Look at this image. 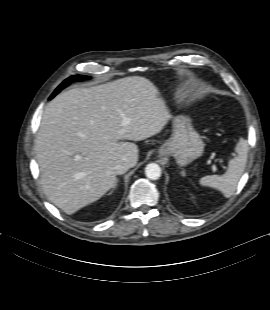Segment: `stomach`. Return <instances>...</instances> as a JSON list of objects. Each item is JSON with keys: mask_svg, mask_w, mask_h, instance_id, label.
Here are the masks:
<instances>
[{"mask_svg": "<svg viewBox=\"0 0 270 310\" xmlns=\"http://www.w3.org/2000/svg\"><path fill=\"white\" fill-rule=\"evenodd\" d=\"M204 142L194 129L188 116L180 115L173 119L171 137L160 147L159 156L175 158L180 166H186L204 152Z\"/></svg>", "mask_w": 270, "mask_h": 310, "instance_id": "1", "label": "stomach"}]
</instances>
